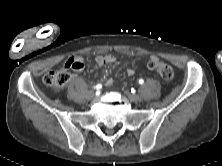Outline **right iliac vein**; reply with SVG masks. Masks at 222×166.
Instances as JSON below:
<instances>
[{
	"mask_svg": "<svg viewBox=\"0 0 222 166\" xmlns=\"http://www.w3.org/2000/svg\"><path fill=\"white\" fill-rule=\"evenodd\" d=\"M95 97V92L94 90H90L87 92V98L88 99H93Z\"/></svg>",
	"mask_w": 222,
	"mask_h": 166,
	"instance_id": "1",
	"label": "right iliac vein"
}]
</instances>
